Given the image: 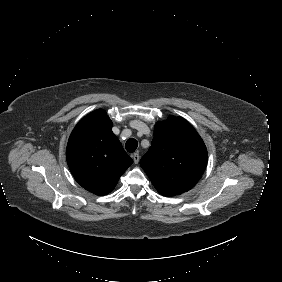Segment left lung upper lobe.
Segmentation results:
<instances>
[{"label": "left lung upper lobe", "mask_w": 282, "mask_h": 282, "mask_svg": "<svg viewBox=\"0 0 282 282\" xmlns=\"http://www.w3.org/2000/svg\"><path fill=\"white\" fill-rule=\"evenodd\" d=\"M208 160L206 146L181 117L169 116L155 126L154 138L140 165L158 192L181 194L201 178Z\"/></svg>", "instance_id": "obj_1"}]
</instances>
